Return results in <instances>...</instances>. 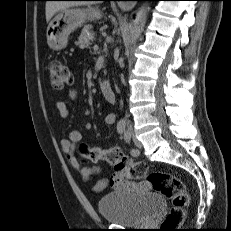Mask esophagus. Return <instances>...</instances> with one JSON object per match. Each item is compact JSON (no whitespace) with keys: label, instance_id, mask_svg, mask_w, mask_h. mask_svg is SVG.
I'll list each match as a JSON object with an SVG mask.
<instances>
[{"label":"esophagus","instance_id":"34e87169","mask_svg":"<svg viewBox=\"0 0 231 231\" xmlns=\"http://www.w3.org/2000/svg\"><path fill=\"white\" fill-rule=\"evenodd\" d=\"M120 6L125 10H130L133 7V5H128V4H121Z\"/></svg>","mask_w":231,"mask_h":231}]
</instances>
